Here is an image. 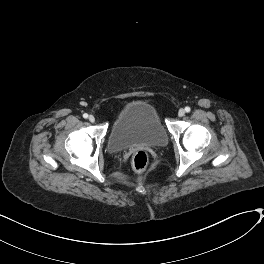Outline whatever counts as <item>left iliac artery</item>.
I'll list each match as a JSON object with an SVG mask.
<instances>
[{"label":"left iliac artery","instance_id":"obj_1","mask_svg":"<svg viewBox=\"0 0 264 264\" xmlns=\"http://www.w3.org/2000/svg\"><path fill=\"white\" fill-rule=\"evenodd\" d=\"M190 110H191L190 107H188V106L185 107V111H186V112H190Z\"/></svg>","mask_w":264,"mask_h":264}]
</instances>
